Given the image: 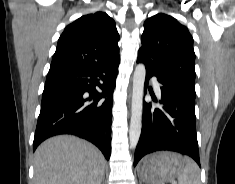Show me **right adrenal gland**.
<instances>
[{
	"instance_id": "1",
	"label": "right adrenal gland",
	"mask_w": 235,
	"mask_h": 184,
	"mask_svg": "<svg viewBox=\"0 0 235 184\" xmlns=\"http://www.w3.org/2000/svg\"><path fill=\"white\" fill-rule=\"evenodd\" d=\"M101 184H104V178H103V180H102Z\"/></svg>"
}]
</instances>
